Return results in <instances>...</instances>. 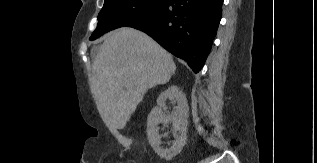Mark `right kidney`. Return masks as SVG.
Instances as JSON below:
<instances>
[{
	"mask_svg": "<svg viewBox=\"0 0 317 163\" xmlns=\"http://www.w3.org/2000/svg\"><path fill=\"white\" fill-rule=\"evenodd\" d=\"M167 100L177 103L170 114H165L162 108ZM189 107L185 94L177 87H168L157 99V107L153 108L147 119V137L153 150L163 159L169 161L179 154L186 144L188 126ZM160 123H172L175 130L171 148L162 149L161 136L158 125ZM178 132V133H177Z\"/></svg>",
	"mask_w": 317,
	"mask_h": 163,
	"instance_id": "obj_1",
	"label": "right kidney"
}]
</instances>
